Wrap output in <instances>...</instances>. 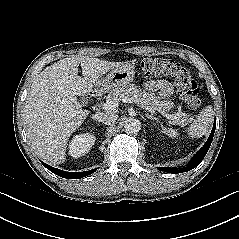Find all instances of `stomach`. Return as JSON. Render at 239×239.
Returning a JSON list of instances; mask_svg holds the SVG:
<instances>
[{"label": "stomach", "instance_id": "stomach-1", "mask_svg": "<svg viewBox=\"0 0 239 239\" xmlns=\"http://www.w3.org/2000/svg\"><path fill=\"white\" fill-rule=\"evenodd\" d=\"M135 75V68L131 63H124L112 69L108 75L100 79L97 85L102 91H110L114 88L124 86L131 82Z\"/></svg>", "mask_w": 239, "mask_h": 239}]
</instances>
